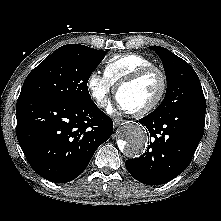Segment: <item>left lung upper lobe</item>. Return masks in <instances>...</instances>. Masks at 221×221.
<instances>
[{
  "label": "left lung upper lobe",
  "mask_w": 221,
  "mask_h": 221,
  "mask_svg": "<svg viewBox=\"0 0 221 221\" xmlns=\"http://www.w3.org/2000/svg\"><path fill=\"white\" fill-rule=\"evenodd\" d=\"M161 58L167 78L166 95L156 111L185 107L206 108L200 80L194 69L183 59L159 46H150Z\"/></svg>",
  "instance_id": "left-lung-upper-lobe-1"
}]
</instances>
